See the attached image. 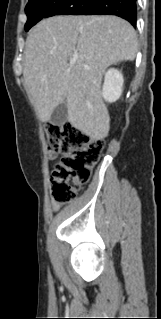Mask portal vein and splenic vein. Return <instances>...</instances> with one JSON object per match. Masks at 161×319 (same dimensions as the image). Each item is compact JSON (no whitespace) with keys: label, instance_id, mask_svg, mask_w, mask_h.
Returning a JSON list of instances; mask_svg holds the SVG:
<instances>
[{"label":"portal vein and splenic vein","instance_id":"1","mask_svg":"<svg viewBox=\"0 0 161 319\" xmlns=\"http://www.w3.org/2000/svg\"><path fill=\"white\" fill-rule=\"evenodd\" d=\"M76 61H77V58H75V57L70 59V63H71V64L76 63Z\"/></svg>","mask_w":161,"mask_h":319}]
</instances>
